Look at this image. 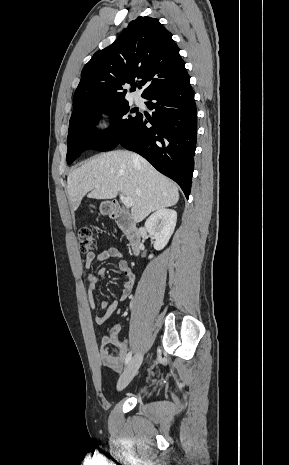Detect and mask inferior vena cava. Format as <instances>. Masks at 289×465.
<instances>
[{
	"mask_svg": "<svg viewBox=\"0 0 289 465\" xmlns=\"http://www.w3.org/2000/svg\"><path fill=\"white\" fill-rule=\"evenodd\" d=\"M133 160H134V162H138L139 161L138 155L134 154L133 155Z\"/></svg>",
	"mask_w": 289,
	"mask_h": 465,
	"instance_id": "602c4592",
	"label": "inferior vena cava"
}]
</instances>
